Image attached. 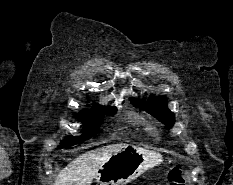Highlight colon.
I'll use <instances>...</instances> for the list:
<instances>
[{"label":"colon","instance_id":"obj_1","mask_svg":"<svg viewBox=\"0 0 233 185\" xmlns=\"http://www.w3.org/2000/svg\"><path fill=\"white\" fill-rule=\"evenodd\" d=\"M169 185H184L183 169L181 165L174 166L168 173Z\"/></svg>","mask_w":233,"mask_h":185}]
</instances>
